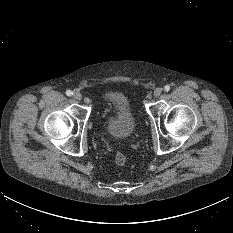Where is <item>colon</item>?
Wrapping results in <instances>:
<instances>
[{"mask_svg":"<svg viewBox=\"0 0 233 233\" xmlns=\"http://www.w3.org/2000/svg\"><path fill=\"white\" fill-rule=\"evenodd\" d=\"M115 162L117 165H124L126 163V156L122 152H118L115 156Z\"/></svg>","mask_w":233,"mask_h":233,"instance_id":"obj_1","label":"colon"}]
</instances>
